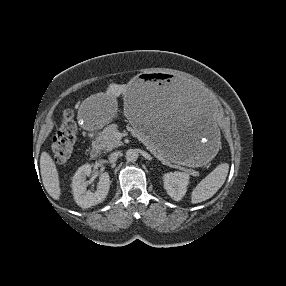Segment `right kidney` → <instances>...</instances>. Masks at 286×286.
<instances>
[{
  "instance_id": "ca27d5eb",
  "label": "right kidney",
  "mask_w": 286,
  "mask_h": 286,
  "mask_svg": "<svg viewBox=\"0 0 286 286\" xmlns=\"http://www.w3.org/2000/svg\"><path fill=\"white\" fill-rule=\"evenodd\" d=\"M91 172L92 165L84 164L78 168L72 179L71 187L75 202L82 208H90L103 202L109 192L110 179L107 172L101 174L96 191L87 190L86 177L90 176Z\"/></svg>"
}]
</instances>
